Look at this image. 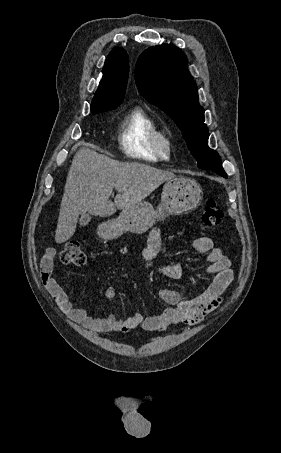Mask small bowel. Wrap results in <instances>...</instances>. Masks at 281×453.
I'll list each match as a JSON object with an SVG mask.
<instances>
[{
  "label": "small bowel",
  "mask_w": 281,
  "mask_h": 453,
  "mask_svg": "<svg viewBox=\"0 0 281 453\" xmlns=\"http://www.w3.org/2000/svg\"><path fill=\"white\" fill-rule=\"evenodd\" d=\"M161 239L158 228H153L144 249V262L150 266L159 256ZM191 251L194 255L207 254L208 272L214 276L208 291L197 297L186 299L175 289L159 288L158 298L171 305L156 316L145 317L140 313L124 319H118L114 314L106 317L94 316L91 311L76 306L67 295L65 289L53 275L54 261L57 253L54 249L47 250L41 258V277L56 300L66 310L69 317L96 333L121 332L126 333L136 327L146 331H164L177 323L195 325L200 323L206 314L217 308L223 299L224 292L233 278L230 260L218 249L212 247L208 238H196L191 242ZM155 275L168 279H179L183 274V263L173 261L154 270ZM115 287H107L103 297L113 301L118 294Z\"/></svg>",
  "instance_id": "1"
}]
</instances>
